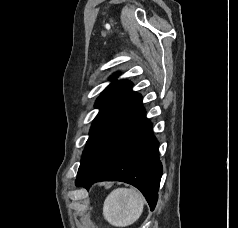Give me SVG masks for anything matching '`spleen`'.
Here are the masks:
<instances>
[{"instance_id":"spleen-1","label":"spleen","mask_w":238,"mask_h":228,"mask_svg":"<svg viewBox=\"0 0 238 228\" xmlns=\"http://www.w3.org/2000/svg\"><path fill=\"white\" fill-rule=\"evenodd\" d=\"M145 199L134 188H117L105 199L103 216L115 227H126L135 223L141 216Z\"/></svg>"}]
</instances>
